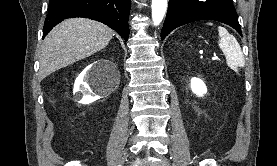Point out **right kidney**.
<instances>
[{
	"label": "right kidney",
	"instance_id": "ca27d5eb",
	"mask_svg": "<svg viewBox=\"0 0 277 166\" xmlns=\"http://www.w3.org/2000/svg\"><path fill=\"white\" fill-rule=\"evenodd\" d=\"M98 63H107L106 60H100ZM94 66L93 64L86 67L83 72L77 77L73 93L75 98L81 104H90L98 99L100 96L91 90V87H100V83L94 79ZM115 83H113V86Z\"/></svg>",
	"mask_w": 277,
	"mask_h": 166
}]
</instances>
